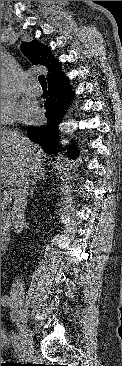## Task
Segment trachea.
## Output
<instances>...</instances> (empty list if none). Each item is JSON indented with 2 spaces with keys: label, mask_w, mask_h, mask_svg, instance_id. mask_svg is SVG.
<instances>
[{
  "label": "trachea",
  "mask_w": 122,
  "mask_h": 366,
  "mask_svg": "<svg viewBox=\"0 0 122 366\" xmlns=\"http://www.w3.org/2000/svg\"><path fill=\"white\" fill-rule=\"evenodd\" d=\"M38 80L42 88H47V82L44 75L39 76Z\"/></svg>",
  "instance_id": "1"
}]
</instances>
